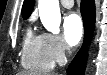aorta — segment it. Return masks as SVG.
<instances>
[{
    "mask_svg": "<svg viewBox=\"0 0 107 75\" xmlns=\"http://www.w3.org/2000/svg\"><path fill=\"white\" fill-rule=\"evenodd\" d=\"M39 16L43 26L53 34L60 32L61 13L58 0H39Z\"/></svg>",
    "mask_w": 107,
    "mask_h": 75,
    "instance_id": "1",
    "label": "aorta"
}]
</instances>
